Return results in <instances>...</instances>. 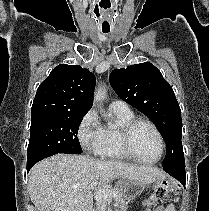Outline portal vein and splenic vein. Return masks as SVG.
Wrapping results in <instances>:
<instances>
[{"mask_svg":"<svg viewBox=\"0 0 209 211\" xmlns=\"http://www.w3.org/2000/svg\"><path fill=\"white\" fill-rule=\"evenodd\" d=\"M98 184V181L93 182L88 188L89 189H93L94 187H96ZM117 195V193L115 191H111L109 189H98L96 191L95 197L97 199H105L107 201H111L113 197H115Z\"/></svg>","mask_w":209,"mask_h":211,"instance_id":"portal-vein-and-splenic-vein-1","label":"portal vein and splenic vein"}]
</instances>
